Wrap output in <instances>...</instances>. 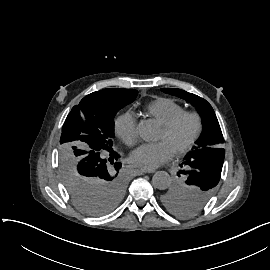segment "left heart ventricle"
<instances>
[{
	"mask_svg": "<svg viewBox=\"0 0 270 270\" xmlns=\"http://www.w3.org/2000/svg\"><path fill=\"white\" fill-rule=\"evenodd\" d=\"M194 123L191 119L184 120L173 134H169L163 127L158 137V141H169L174 146L185 143L192 135Z\"/></svg>",
	"mask_w": 270,
	"mask_h": 270,
	"instance_id": "1",
	"label": "left heart ventricle"
}]
</instances>
